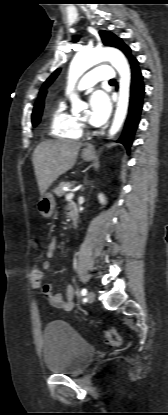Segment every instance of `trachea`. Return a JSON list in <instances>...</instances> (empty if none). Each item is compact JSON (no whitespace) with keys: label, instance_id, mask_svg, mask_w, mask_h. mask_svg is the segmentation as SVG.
<instances>
[{"label":"trachea","instance_id":"1","mask_svg":"<svg viewBox=\"0 0 168 415\" xmlns=\"http://www.w3.org/2000/svg\"><path fill=\"white\" fill-rule=\"evenodd\" d=\"M110 83H115V80H114V79H112V80L110 81Z\"/></svg>","mask_w":168,"mask_h":415}]
</instances>
